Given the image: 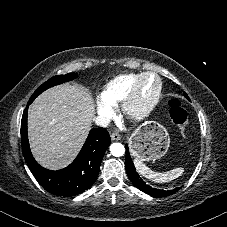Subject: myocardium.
Masks as SVG:
<instances>
[{
  "instance_id": "f54148a6",
  "label": "myocardium",
  "mask_w": 227,
  "mask_h": 227,
  "mask_svg": "<svg viewBox=\"0 0 227 227\" xmlns=\"http://www.w3.org/2000/svg\"><path fill=\"white\" fill-rule=\"evenodd\" d=\"M146 79H152L155 82V90L147 99L141 97V87ZM162 94V83L160 78L151 72H145L134 82L126 98L122 101V114L128 120L140 121L147 117L159 102Z\"/></svg>"
}]
</instances>
